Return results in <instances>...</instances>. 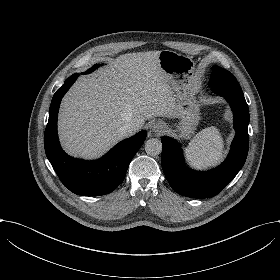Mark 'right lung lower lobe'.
Here are the masks:
<instances>
[{"label": "right lung lower lobe", "instance_id": "98d812e1", "mask_svg": "<svg viewBox=\"0 0 280 280\" xmlns=\"http://www.w3.org/2000/svg\"><path fill=\"white\" fill-rule=\"evenodd\" d=\"M77 77L78 75L74 74L66 79L52 98L44 134L45 152L61 182L70 191L86 196L105 195L114 191L123 181L129 163L144 143L147 133L141 131L123 140L104 157L95 161H84L68 156L58 140L57 116L62 97Z\"/></svg>", "mask_w": 280, "mask_h": 280}]
</instances>
